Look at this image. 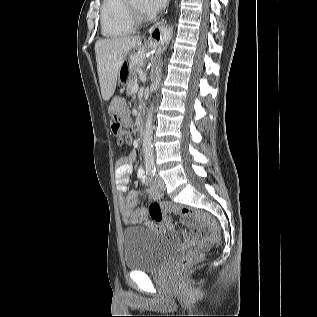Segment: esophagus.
<instances>
[{
	"label": "esophagus",
	"mask_w": 317,
	"mask_h": 317,
	"mask_svg": "<svg viewBox=\"0 0 317 317\" xmlns=\"http://www.w3.org/2000/svg\"><path fill=\"white\" fill-rule=\"evenodd\" d=\"M164 38H166V26L164 23H159L150 30V41L158 44L162 42Z\"/></svg>",
	"instance_id": "1"
}]
</instances>
